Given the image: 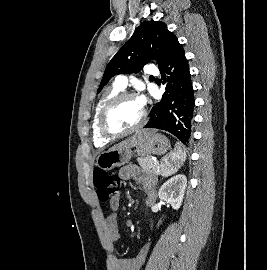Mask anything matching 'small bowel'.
<instances>
[{
  "instance_id": "small-bowel-1",
  "label": "small bowel",
  "mask_w": 267,
  "mask_h": 270,
  "mask_svg": "<svg viewBox=\"0 0 267 270\" xmlns=\"http://www.w3.org/2000/svg\"><path fill=\"white\" fill-rule=\"evenodd\" d=\"M119 176L123 180L133 179L139 184L141 191L146 196V205L152 206L155 203L156 194L153 180L148 176L142 175L138 167L134 165L125 166L120 170ZM119 206L120 198L119 196H115L109 202L111 212L106 217L107 235L108 239L112 243H115L120 239V230L117 219V211ZM148 251L149 244H146L134 258H115L114 265L117 270H141Z\"/></svg>"
}]
</instances>
